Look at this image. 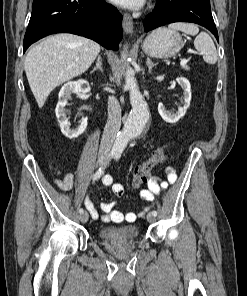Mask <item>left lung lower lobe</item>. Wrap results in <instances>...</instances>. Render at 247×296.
I'll return each instance as SVG.
<instances>
[{"label":"left lung lower lobe","instance_id":"left-lung-lower-lobe-1","mask_svg":"<svg viewBox=\"0 0 247 296\" xmlns=\"http://www.w3.org/2000/svg\"><path fill=\"white\" fill-rule=\"evenodd\" d=\"M173 22H192L204 26L218 39L211 14L210 0H157L154 10L144 20V31Z\"/></svg>","mask_w":247,"mask_h":296}]
</instances>
